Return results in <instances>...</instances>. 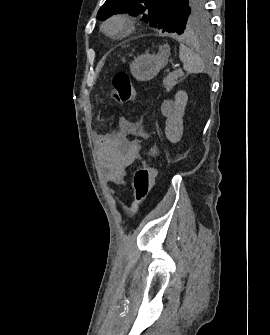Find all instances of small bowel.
<instances>
[{"instance_id": "1", "label": "small bowel", "mask_w": 270, "mask_h": 335, "mask_svg": "<svg viewBox=\"0 0 270 335\" xmlns=\"http://www.w3.org/2000/svg\"><path fill=\"white\" fill-rule=\"evenodd\" d=\"M119 131L115 135H100L97 137L98 158L104 170L105 178L112 184L122 186L126 182L128 170L136 161L139 145L130 138L140 131L139 125L122 118ZM158 154L157 148L151 150Z\"/></svg>"}]
</instances>
